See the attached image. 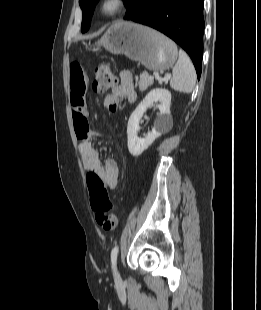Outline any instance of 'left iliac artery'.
Instances as JSON below:
<instances>
[{
	"label": "left iliac artery",
	"instance_id": "44dca946",
	"mask_svg": "<svg viewBox=\"0 0 261 310\" xmlns=\"http://www.w3.org/2000/svg\"><path fill=\"white\" fill-rule=\"evenodd\" d=\"M117 255H118V246L116 245L111 251V262L113 268L116 265Z\"/></svg>",
	"mask_w": 261,
	"mask_h": 310
}]
</instances>
